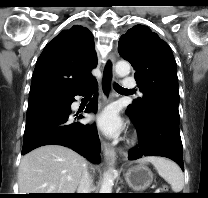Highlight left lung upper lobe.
I'll return each instance as SVG.
<instances>
[{"mask_svg":"<svg viewBox=\"0 0 208 198\" xmlns=\"http://www.w3.org/2000/svg\"><path fill=\"white\" fill-rule=\"evenodd\" d=\"M118 47L120 56L134 67L143 93L126 110L132 121L140 123L154 110L179 121L177 68L169 45L147 26L136 25L120 37Z\"/></svg>","mask_w":208,"mask_h":198,"instance_id":"obj_1","label":"left lung upper lobe"}]
</instances>
